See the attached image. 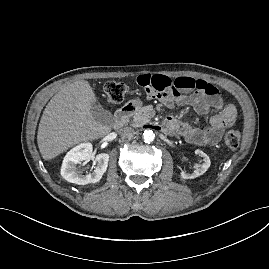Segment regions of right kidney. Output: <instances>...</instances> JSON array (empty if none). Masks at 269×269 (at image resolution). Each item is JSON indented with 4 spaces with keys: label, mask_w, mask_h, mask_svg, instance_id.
<instances>
[{
    "label": "right kidney",
    "mask_w": 269,
    "mask_h": 269,
    "mask_svg": "<svg viewBox=\"0 0 269 269\" xmlns=\"http://www.w3.org/2000/svg\"><path fill=\"white\" fill-rule=\"evenodd\" d=\"M92 149L91 143H82L71 149L66 154L61 167V175L65 180L78 185H85L100 181L107 170L109 154L101 153L95 157L97 166L92 173L83 175L77 169V164H80L84 160L91 159Z\"/></svg>",
    "instance_id": "obj_1"
}]
</instances>
